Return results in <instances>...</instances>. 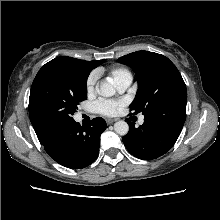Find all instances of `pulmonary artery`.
<instances>
[{"label": "pulmonary artery", "instance_id": "obj_1", "mask_svg": "<svg viewBox=\"0 0 220 220\" xmlns=\"http://www.w3.org/2000/svg\"><path fill=\"white\" fill-rule=\"evenodd\" d=\"M132 77L131 76H122L115 82L116 89L119 93H123L131 84ZM144 122V117L141 116L139 118V123L142 124Z\"/></svg>", "mask_w": 220, "mask_h": 220}]
</instances>
